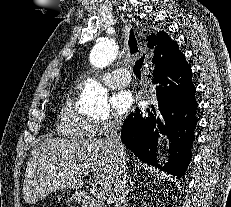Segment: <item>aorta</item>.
Segmentation results:
<instances>
[{
	"mask_svg": "<svg viewBox=\"0 0 231 207\" xmlns=\"http://www.w3.org/2000/svg\"><path fill=\"white\" fill-rule=\"evenodd\" d=\"M118 48L113 40L105 39L97 42L91 49L89 60L97 69L110 65L117 57ZM108 91L95 80H88L81 97L80 105L94 113L108 111Z\"/></svg>",
	"mask_w": 231,
	"mask_h": 207,
	"instance_id": "obj_1",
	"label": "aorta"
}]
</instances>
